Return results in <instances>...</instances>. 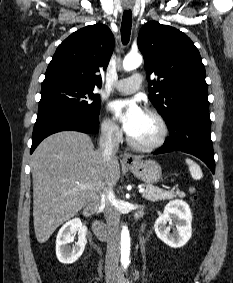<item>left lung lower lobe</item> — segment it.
Wrapping results in <instances>:
<instances>
[{
    "instance_id": "0a47b994",
    "label": "left lung lower lobe",
    "mask_w": 233,
    "mask_h": 283,
    "mask_svg": "<svg viewBox=\"0 0 233 283\" xmlns=\"http://www.w3.org/2000/svg\"><path fill=\"white\" fill-rule=\"evenodd\" d=\"M167 125L170 137L154 154L183 151L201 159L214 174L215 161L209 112H190Z\"/></svg>"
}]
</instances>
